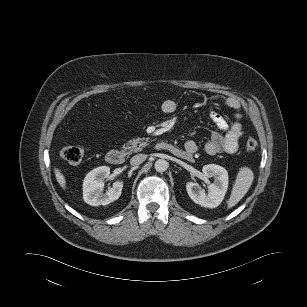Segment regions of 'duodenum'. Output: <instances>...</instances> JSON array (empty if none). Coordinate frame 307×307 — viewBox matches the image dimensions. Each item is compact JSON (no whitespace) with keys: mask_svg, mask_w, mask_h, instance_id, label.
<instances>
[{"mask_svg":"<svg viewBox=\"0 0 307 307\" xmlns=\"http://www.w3.org/2000/svg\"><path fill=\"white\" fill-rule=\"evenodd\" d=\"M155 148L159 151L175 153V147L167 142H158ZM106 161L111 165L117 166L123 163L124 155L117 149H111L106 153Z\"/></svg>","mask_w":307,"mask_h":307,"instance_id":"obj_1","label":"duodenum"}]
</instances>
